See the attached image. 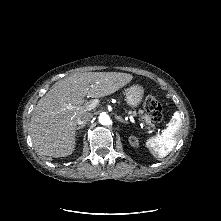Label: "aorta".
I'll list each match as a JSON object with an SVG mask.
<instances>
[{"label": "aorta", "instance_id": "obj_1", "mask_svg": "<svg viewBox=\"0 0 221 221\" xmlns=\"http://www.w3.org/2000/svg\"><path fill=\"white\" fill-rule=\"evenodd\" d=\"M98 119L102 125H109L111 123V119L106 113H101Z\"/></svg>", "mask_w": 221, "mask_h": 221}]
</instances>
